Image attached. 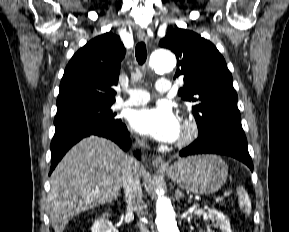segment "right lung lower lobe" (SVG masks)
Wrapping results in <instances>:
<instances>
[{
    "instance_id": "98d812e1",
    "label": "right lung lower lobe",
    "mask_w": 289,
    "mask_h": 232,
    "mask_svg": "<svg viewBox=\"0 0 289 232\" xmlns=\"http://www.w3.org/2000/svg\"><path fill=\"white\" fill-rule=\"evenodd\" d=\"M97 135L111 139L123 150L127 151L131 144L129 134L125 124L122 122L112 125H72L57 128L51 142V167L50 173L54 170L64 154L82 138ZM140 158V153H135Z\"/></svg>"
}]
</instances>
